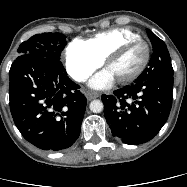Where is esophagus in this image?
Segmentation results:
<instances>
[{
  "label": "esophagus",
  "instance_id": "1",
  "mask_svg": "<svg viewBox=\"0 0 187 187\" xmlns=\"http://www.w3.org/2000/svg\"><path fill=\"white\" fill-rule=\"evenodd\" d=\"M83 93L88 100H92V99H95V98L99 97V93L93 92V91H90V90H87V89L83 90Z\"/></svg>",
  "mask_w": 187,
  "mask_h": 187
}]
</instances>
